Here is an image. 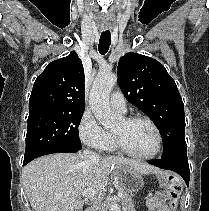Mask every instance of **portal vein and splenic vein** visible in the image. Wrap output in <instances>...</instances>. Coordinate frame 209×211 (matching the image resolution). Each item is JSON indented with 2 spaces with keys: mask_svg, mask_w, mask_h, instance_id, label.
<instances>
[{
  "mask_svg": "<svg viewBox=\"0 0 209 211\" xmlns=\"http://www.w3.org/2000/svg\"><path fill=\"white\" fill-rule=\"evenodd\" d=\"M98 194V191L96 190H92V189H86L84 190L82 193H81V196L82 197H85V198H95V196ZM123 196V193L122 192H118V197H122Z\"/></svg>",
  "mask_w": 209,
  "mask_h": 211,
  "instance_id": "18ae733b",
  "label": "portal vein and splenic vein"
}]
</instances>
